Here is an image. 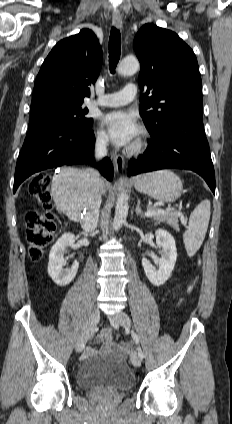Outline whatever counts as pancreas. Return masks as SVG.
<instances>
[{"mask_svg": "<svg viewBox=\"0 0 232 424\" xmlns=\"http://www.w3.org/2000/svg\"><path fill=\"white\" fill-rule=\"evenodd\" d=\"M148 210L157 211L158 209L154 207H148ZM155 221L159 222H165L169 224L171 227H173L176 231H179V224H178V218L180 217V214L172 211H166L162 214H155L151 216Z\"/></svg>", "mask_w": 232, "mask_h": 424, "instance_id": "obj_1", "label": "pancreas"}]
</instances>
